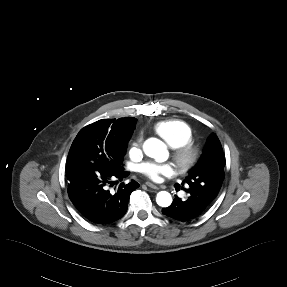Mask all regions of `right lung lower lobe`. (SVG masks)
Instances as JSON below:
<instances>
[{
    "instance_id": "obj_1",
    "label": "right lung lower lobe",
    "mask_w": 287,
    "mask_h": 287,
    "mask_svg": "<svg viewBox=\"0 0 287 287\" xmlns=\"http://www.w3.org/2000/svg\"><path fill=\"white\" fill-rule=\"evenodd\" d=\"M128 174L122 166L112 169L91 160L67 163L69 198L80 215L91 223H112L124 216L130 194L139 184L132 180L115 191H109L107 186L112 179L122 180Z\"/></svg>"
}]
</instances>
